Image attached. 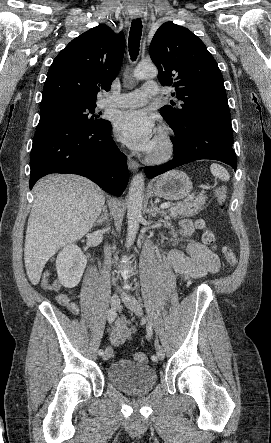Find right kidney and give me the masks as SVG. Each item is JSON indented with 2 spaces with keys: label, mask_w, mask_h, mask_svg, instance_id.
Listing matches in <instances>:
<instances>
[{
  "label": "right kidney",
  "mask_w": 271,
  "mask_h": 443,
  "mask_svg": "<svg viewBox=\"0 0 271 443\" xmlns=\"http://www.w3.org/2000/svg\"><path fill=\"white\" fill-rule=\"evenodd\" d=\"M87 257L76 243H69L59 251L56 259L58 279L64 287L78 285L86 267Z\"/></svg>",
  "instance_id": "right-kidney-1"
}]
</instances>
